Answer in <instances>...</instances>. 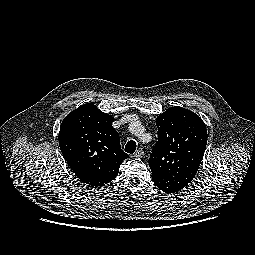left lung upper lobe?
<instances>
[{"mask_svg":"<svg viewBox=\"0 0 255 255\" xmlns=\"http://www.w3.org/2000/svg\"><path fill=\"white\" fill-rule=\"evenodd\" d=\"M158 141L149 158L152 180L166 193L185 188L195 177L207 144L203 120L182 107H171L156 119Z\"/></svg>","mask_w":255,"mask_h":255,"instance_id":"obj_1","label":"left lung upper lobe"}]
</instances>
